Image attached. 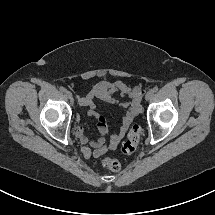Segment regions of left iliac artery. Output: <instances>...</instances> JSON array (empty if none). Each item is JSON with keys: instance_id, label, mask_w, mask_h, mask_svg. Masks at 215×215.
<instances>
[{"instance_id": "44dca946", "label": "left iliac artery", "mask_w": 215, "mask_h": 215, "mask_svg": "<svg viewBox=\"0 0 215 215\" xmlns=\"http://www.w3.org/2000/svg\"><path fill=\"white\" fill-rule=\"evenodd\" d=\"M152 91H153V92H157V91H158V87H154V88L152 89Z\"/></svg>"}]
</instances>
